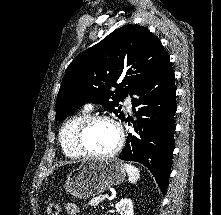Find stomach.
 <instances>
[{
    "label": "stomach",
    "instance_id": "0dacf381",
    "mask_svg": "<svg viewBox=\"0 0 221 215\" xmlns=\"http://www.w3.org/2000/svg\"><path fill=\"white\" fill-rule=\"evenodd\" d=\"M125 176V169L118 160H87L67 176L65 187L71 195L87 199L120 184Z\"/></svg>",
    "mask_w": 221,
    "mask_h": 215
}]
</instances>
